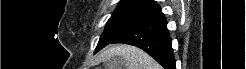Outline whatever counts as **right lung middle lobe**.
<instances>
[{
	"label": "right lung middle lobe",
	"mask_w": 246,
	"mask_h": 69,
	"mask_svg": "<svg viewBox=\"0 0 246 69\" xmlns=\"http://www.w3.org/2000/svg\"><path fill=\"white\" fill-rule=\"evenodd\" d=\"M143 20L142 16H123L110 18L104 32L102 33L94 53H97L106 45L110 44L115 38L134 27Z\"/></svg>",
	"instance_id": "right-lung-middle-lobe-1"
}]
</instances>
